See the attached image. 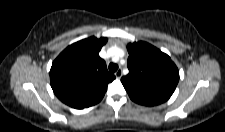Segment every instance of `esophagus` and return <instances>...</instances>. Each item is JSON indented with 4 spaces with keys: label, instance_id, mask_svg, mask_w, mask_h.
I'll return each instance as SVG.
<instances>
[{
    "label": "esophagus",
    "instance_id": "1",
    "mask_svg": "<svg viewBox=\"0 0 225 132\" xmlns=\"http://www.w3.org/2000/svg\"><path fill=\"white\" fill-rule=\"evenodd\" d=\"M115 76L117 79H120L122 77V70L121 69H118L116 72H115Z\"/></svg>",
    "mask_w": 225,
    "mask_h": 132
}]
</instances>
